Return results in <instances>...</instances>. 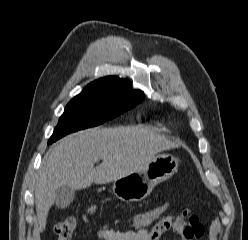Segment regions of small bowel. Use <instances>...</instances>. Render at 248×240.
Instances as JSON below:
<instances>
[{
    "mask_svg": "<svg viewBox=\"0 0 248 240\" xmlns=\"http://www.w3.org/2000/svg\"><path fill=\"white\" fill-rule=\"evenodd\" d=\"M96 210L91 206L87 214ZM172 230L182 240H201L204 235V226L196 215L184 211L180 215H166L154 223L151 227H144L136 231H117L102 229L97 236L100 240H160L161 236Z\"/></svg>",
    "mask_w": 248,
    "mask_h": 240,
    "instance_id": "1",
    "label": "small bowel"
}]
</instances>
